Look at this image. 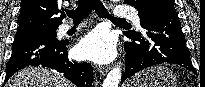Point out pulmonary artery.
Segmentation results:
<instances>
[{"instance_id":"1","label":"pulmonary artery","mask_w":205,"mask_h":87,"mask_svg":"<svg viewBox=\"0 0 205 87\" xmlns=\"http://www.w3.org/2000/svg\"><path fill=\"white\" fill-rule=\"evenodd\" d=\"M114 16L116 18L118 17H129L132 22L136 25H140V19L137 13L131 11L130 9L123 7L122 5L116 6V9L114 11ZM70 29V25L64 24L60 27V32L65 33Z\"/></svg>"}]
</instances>
